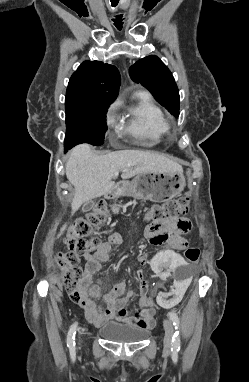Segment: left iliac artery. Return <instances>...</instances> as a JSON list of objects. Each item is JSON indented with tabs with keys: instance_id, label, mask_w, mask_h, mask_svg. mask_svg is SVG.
<instances>
[{
	"instance_id": "44dca946",
	"label": "left iliac artery",
	"mask_w": 249,
	"mask_h": 382,
	"mask_svg": "<svg viewBox=\"0 0 249 382\" xmlns=\"http://www.w3.org/2000/svg\"><path fill=\"white\" fill-rule=\"evenodd\" d=\"M168 316L170 320L173 322V325L175 327V333L172 337V350L179 351L180 349L179 318H178V315L173 311L169 312Z\"/></svg>"
}]
</instances>
